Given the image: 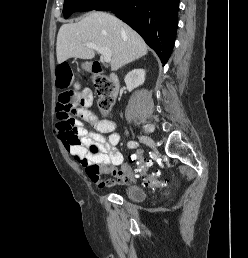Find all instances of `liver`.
I'll return each mask as SVG.
<instances>
[{"mask_svg":"<svg viewBox=\"0 0 248 258\" xmlns=\"http://www.w3.org/2000/svg\"><path fill=\"white\" fill-rule=\"evenodd\" d=\"M86 43L106 48L111 53V70L147 54L148 47L141 36L116 17L103 12H91L77 23L61 26L56 43L57 61L69 58L92 59L95 51Z\"/></svg>","mask_w":248,"mask_h":258,"instance_id":"liver-1","label":"liver"}]
</instances>
